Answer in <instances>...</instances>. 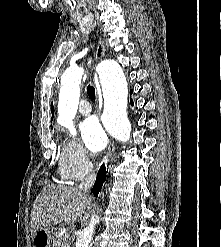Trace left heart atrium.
Wrapping results in <instances>:
<instances>
[{
	"mask_svg": "<svg viewBox=\"0 0 221 247\" xmlns=\"http://www.w3.org/2000/svg\"><path fill=\"white\" fill-rule=\"evenodd\" d=\"M80 132L85 146L92 152L102 151L107 144V135L98 119L89 117L80 125Z\"/></svg>",
	"mask_w": 221,
	"mask_h": 247,
	"instance_id": "39dd6f15",
	"label": "left heart atrium"
}]
</instances>
